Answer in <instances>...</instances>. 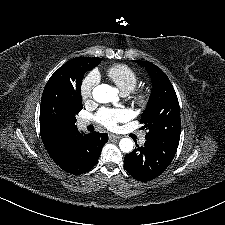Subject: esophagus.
<instances>
[{"instance_id": "34e87169", "label": "esophagus", "mask_w": 225, "mask_h": 225, "mask_svg": "<svg viewBox=\"0 0 225 225\" xmlns=\"http://www.w3.org/2000/svg\"><path fill=\"white\" fill-rule=\"evenodd\" d=\"M109 139L110 140H118V139H120V136L119 135H115V134H109Z\"/></svg>"}]
</instances>
